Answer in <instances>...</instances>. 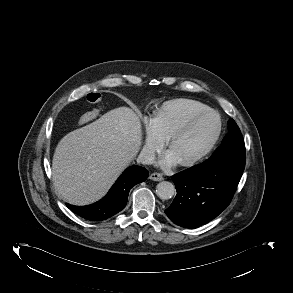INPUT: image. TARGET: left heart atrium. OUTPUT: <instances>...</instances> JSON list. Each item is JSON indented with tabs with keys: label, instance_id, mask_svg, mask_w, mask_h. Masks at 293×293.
Listing matches in <instances>:
<instances>
[{
	"label": "left heart atrium",
	"instance_id": "left-heart-atrium-1",
	"mask_svg": "<svg viewBox=\"0 0 293 293\" xmlns=\"http://www.w3.org/2000/svg\"><path fill=\"white\" fill-rule=\"evenodd\" d=\"M179 162L180 161L177 159V157L171 151H168L161 159L160 164L163 167H171Z\"/></svg>",
	"mask_w": 293,
	"mask_h": 293
}]
</instances>
